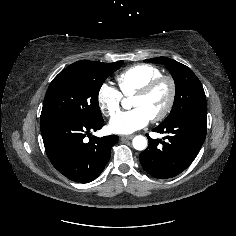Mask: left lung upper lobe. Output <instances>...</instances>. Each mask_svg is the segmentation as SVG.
Masks as SVG:
<instances>
[{
  "label": "left lung upper lobe",
  "mask_w": 236,
  "mask_h": 236,
  "mask_svg": "<svg viewBox=\"0 0 236 236\" xmlns=\"http://www.w3.org/2000/svg\"><path fill=\"white\" fill-rule=\"evenodd\" d=\"M145 62L165 65L175 81L174 104L168 117L161 123L162 125L172 122L190 111L206 109L203 86L190 68L166 57L147 59Z\"/></svg>",
  "instance_id": "1"
}]
</instances>
